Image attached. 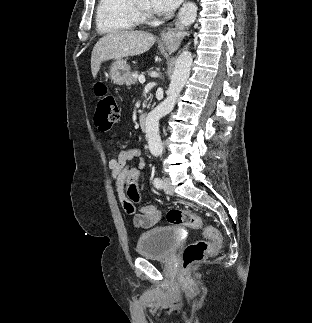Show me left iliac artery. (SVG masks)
Here are the masks:
<instances>
[{
    "instance_id": "1",
    "label": "left iliac artery",
    "mask_w": 312,
    "mask_h": 323,
    "mask_svg": "<svg viewBox=\"0 0 312 323\" xmlns=\"http://www.w3.org/2000/svg\"><path fill=\"white\" fill-rule=\"evenodd\" d=\"M153 184L156 188H161L162 187V180L160 178H155L153 180Z\"/></svg>"
}]
</instances>
